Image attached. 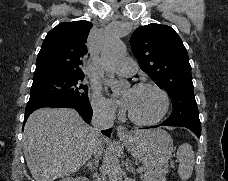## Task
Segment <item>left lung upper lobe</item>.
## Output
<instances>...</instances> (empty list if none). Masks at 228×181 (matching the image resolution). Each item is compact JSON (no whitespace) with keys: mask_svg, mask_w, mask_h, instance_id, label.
Masks as SVG:
<instances>
[{"mask_svg":"<svg viewBox=\"0 0 228 181\" xmlns=\"http://www.w3.org/2000/svg\"><path fill=\"white\" fill-rule=\"evenodd\" d=\"M140 68L170 96L173 112L164 123L201 128L188 54L177 33L167 25L149 24L130 38Z\"/></svg>","mask_w":228,"mask_h":181,"instance_id":"1","label":"left lung upper lobe"}]
</instances>
